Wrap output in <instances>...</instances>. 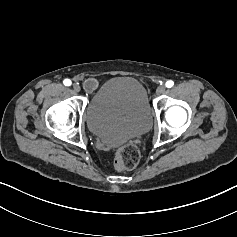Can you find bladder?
Returning <instances> with one entry per match:
<instances>
[{
    "instance_id": "obj_1",
    "label": "bladder",
    "mask_w": 237,
    "mask_h": 237,
    "mask_svg": "<svg viewBox=\"0 0 237 237\" xmlns=\"http://www.w3.org/2000/svg\"><path fill=\"white\" fill-rule=\"evenodd\" d=\"M90 132L107 144H118L146 133L152 111L145 87L135 78L117 76L101 84L86 106Z\"/></svg>"
}]
</instances>
